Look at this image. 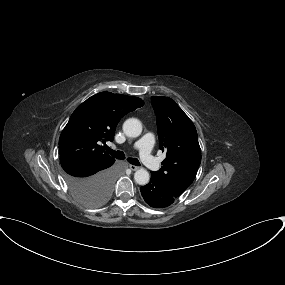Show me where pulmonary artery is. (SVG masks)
Instances as JSON below:
<instances>
[{
    "instance_id": "e3ab8cb5",
    "label": "pulmonary artery",
    "mask_w": 285,
    "mask_h": 285,
    "mask_svg": "<svg viewBox=\"0 0 285 285\" xmlns=\"http://www.w3.org/2000/svg\"><path fill=\"white\" fill-rule=\"evenodd\" d=\"M152 146L153 135L151 133H146L134 144V148L139 151V157L145 166L151 170H158L160 168V164L152 156Z\"/></svg>"
}]
</instances>
